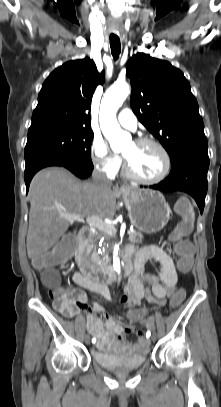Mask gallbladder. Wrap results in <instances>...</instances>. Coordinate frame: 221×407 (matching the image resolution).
<instances>
[{"label": "gallbladder", "mask_w": 221, "mask_h": 407, "mask_svg": "<svg viewBox=\"0 0 221 407\" xmlns=\"http://www.w3.org/2000/svg\"><path fill=\"white\" fill-rule=\"evenodd\" d=\"M65 241H66V240L64 239V240H63V241L61 242V244H60V245H63V244H65Z\"/></svg>", "instance_id": "1"}]
</instances>
